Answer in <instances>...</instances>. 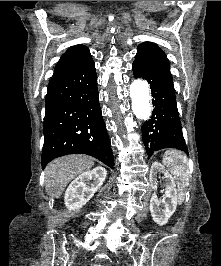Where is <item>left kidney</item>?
Masks as SVG:
<instances>
[{
    "label": "left kidney",
    "mask_w": 221,
    "mask_h": 266,
    "mask_svg": "<svg viewBox=\"0 0 221 266\" xmlns=\"http://www.w3.org/2000/svg\"><path fill=\"white\" fill-rule=\"evenodd\" d=\"M157 173L164 175L166 184L165 196L163 200H159L156 193L152 194V197L150 199V212L154 222L159 226H162L168 222L170 217L175 212L177 207L178 194L173 177L169 174L165 167L157 161L152 164L149 174V180L152 189H157ZM161 204H163V207H160Z\"/></svg>",
    "instance_id": "left-kidney-1"
}]
</instances>
